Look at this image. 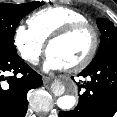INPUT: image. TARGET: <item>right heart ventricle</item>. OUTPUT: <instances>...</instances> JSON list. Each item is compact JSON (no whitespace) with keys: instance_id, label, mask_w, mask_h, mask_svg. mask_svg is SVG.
<instances>
[{"instance_id":"right-heart-ventricle-1","label":"right heart ventricle","mask_w":117,"mask_h":117,"mask_svg":"<svg viewBox=\"0 0 117 117\" xmlns=\"http://www.w3.org/2000/svg\"><path fill=\"white\" fill-rule=\"evenodd\" d=\"M80 22H87L85 15L65 6L43 8L27 20L29 28L43 42L48 41L60 29Z\"/></svg>"}]
</instances>
